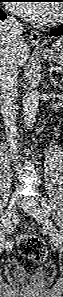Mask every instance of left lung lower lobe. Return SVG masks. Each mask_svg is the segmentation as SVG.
Wrapping results in <instances>:
<instances>
[{
  "instance_id": "obj_1",
  "label": "left lung lower lobe",
  "mask_w": 63,
  "mask_h": 297,
  "mask_svg": "<svg viewBox=\"0 0 63 297\" xmlns=\"http://www.w3.org/2000/svg\"><path fill=\"white\" fill-rule=\"evenodd\" d=\"M51 35L52 36H62L63 35V25L56 28V29H53L51 30Z\"/></svg>"
}]
</instances>
